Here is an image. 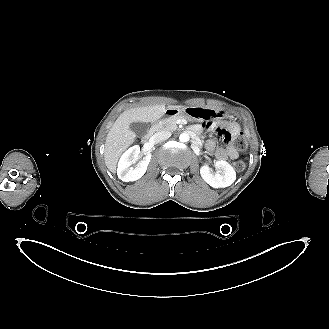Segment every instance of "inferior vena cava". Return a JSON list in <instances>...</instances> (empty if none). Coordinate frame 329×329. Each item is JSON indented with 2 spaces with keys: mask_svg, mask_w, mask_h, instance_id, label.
<instances>
[{
  "mask_svg": "<svg viewBox=\"0 0 329 329\" xmlns=\"http://www.w3.org/2000/svg\"><path fill=\"white\" fill-rule=\"evenodd\" d=\"M171 136V133L169 131H159L153 135V140L156 143L163 142L167 140Z\"/></svg>",
  "mask_w": 329,
  "mask_h": 329,
  "instance_id": "obj_1",
  "label": "inferior vena cava"
}]
</instances>
